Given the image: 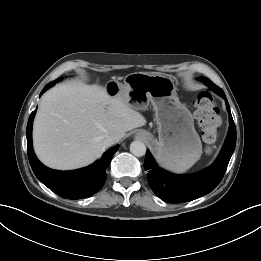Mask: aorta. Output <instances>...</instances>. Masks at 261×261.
<instances>
[{
	"mask_svg": "<svg viewBox=\"0 0 261 261\" xmlns=\"http://www.w3.org/2000/svg\"><path fill=\"white\" fill-rule=\"evenodd\" d=\"M130 152L136 157H142L146 153V146L141 141H133L130 144Z\"/></svg>",
	"mask_w": 261,
	"mask_h": 261,
	"instance_id": "1",
	"label": "aorta"
}]
</instances>
